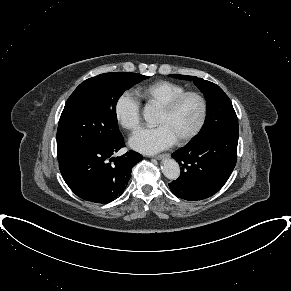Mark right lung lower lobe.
I'll list each match as a JSON object with an SVG mask.
<instances>
[{
	"label": "right lung lower lobe",
	"instance_id": "98d812e1",
	"mask_svg": "<svg viewBox=\"0 0 291 291\" xmlns=\"http://www.w3.org/2000/svg\"><path fill=\"white\" fill-rule=\"evenodd\" d=\"M123 137L109 145L86 148L59 162L63 179L80 198L108 203L122 195L132 168L143 159L130 150L120 157L112 155L124 147Z\"/></svg>",
	"mask_w": 291,
	"mask_h": 291
}]
</instances>
